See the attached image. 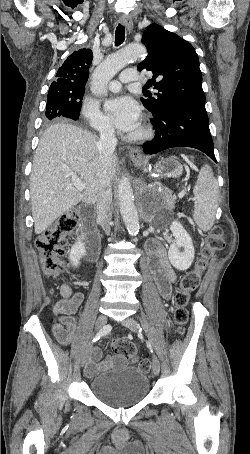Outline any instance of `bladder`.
Returning a JSON list of instances; mask_svg holds the SVG:
<instances>
[{"instance_id": "obj_1", "label": "bladder", "mask_w": 250, "mask_h": 454, "mask_svg": "<svg viewBox=\"0 0 250 454\" xmlns=\"http://www.w3.org/2000/svg\"><path fill=\"white\" fill-rule=\"evenodd\" d=\"M120 361L122 356H116ZM150 379L141 369L132 365H120L107 370L90 381L91 393L103 404L124 407L138 404L147 396Z\"/></svg>"}]
</instances>
